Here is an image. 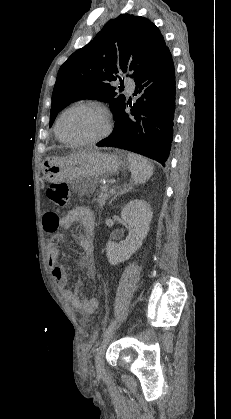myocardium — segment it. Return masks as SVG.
Listing matches in <instances>:
<instances>
[{
  "mask_svg": "<svg viewBox=\"0 0 231 419\" xmlns=\"http://www.w3.org/2000/svg\"><path fill=\"white\" fill-rule=\"evenodd\" d=\"M76 109H88V110H93L96 111L98 113H100L104 119V128L102 130L101 133H99L98 135L92 137V138H88V139H80V140H73V139H69L67 137H65L60 129V124L62 119L64 118V116L66 114H68L69 112L76 110ZM55 130H56V134L59 137V139L67 144L70 145H89V144H95L101 140H103L110 132L111 130V118L110 115L108 113V111L97 104H92V103H82V104H76L73 105L69 108H67L66 110H64L61 115L58 117L57 122H56V126H55Z\"/></svg>",
  "mask_w": 231,
  "mask_h": 419,
  "instance_id": "myocardium-1",
  "label": "myocardium"
}]
</instances>
